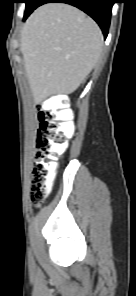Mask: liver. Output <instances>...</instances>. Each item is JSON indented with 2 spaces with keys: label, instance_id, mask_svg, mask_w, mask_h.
I'll list each match as a JSON object with an SVG mask.
<instances>
[{
  "label": "liver",
  "instance_id": "1",
  "mask_svg": "<svg viewBox=\"0 0 136 296\" xmlns=\"http://www.w3.org/2000/svg\"><path fill=\"white\" fill-rule=\"evenodd\" d=\"M102 48L99 26L79 9L62 3L38 7L22 28L20 44L34 101L74 92Z\"/></svg>",
  "mask_w": 136,
  "mask_h": 296
}]
</instances>
